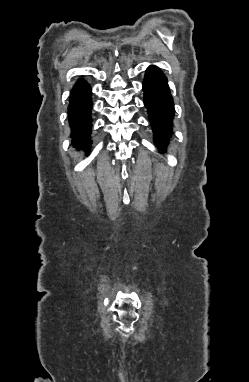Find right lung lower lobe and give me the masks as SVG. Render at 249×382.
I'll list each match as a JSON object with an SVG mask.
<instances>
[{"label": "right lung lower lobe", "instance_id": "98d812e1", "mask_svg": "<svg viewBox=\"0 0 249 382\" xmlns=\"http://www.w3.org/2000/svg\"><path fill=\"white\" fill-rule=\"evenodd\" d=\"M69 101L68 120L72 130V145L82 150L87 149L91 145V87L80 79L71 90Z\"/></svg>", "mask_w": 249, "mask_h": 382}]
</instances>
